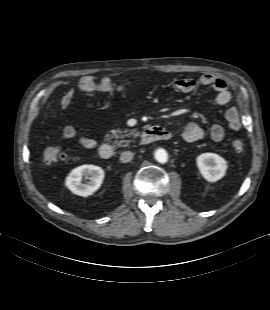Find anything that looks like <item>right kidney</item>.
Segmentation results:
<instances>
[{
  "mask_svg": "<svg viewBox=\"0 0 270 310\" xmlns=\"http://www.w3.org/2000/svg\"><path fill=\"white\" fill-rule=\"evenodd\" d=\"M83 176H89V182L81 183ZM104 179V171L95 165H82L74 168L66 177L65 185L74 194L87 197L96 192Z\"/></svg>",
  "mask_w": 270,
  "mask_h": 310,
  "instance_id": "obj_1",
  "label": "right kidney"
}]
</instances>
